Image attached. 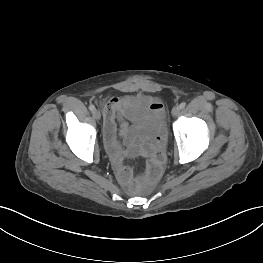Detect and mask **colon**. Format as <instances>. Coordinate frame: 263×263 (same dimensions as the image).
<instances>
[{"mask_svg":"<svg viewBox=\"0 0 263 263\" xmlns=\"http://www.w3.org/2000/svg\"><path fill=\"white\" fill-rule=\"evenodd\" d=\"M161 168L162 164L158 162L148 165L145 175L137 180V187H142L156 181L161 174Z\"/></svg>","mask_w":263,"mask_h":263,"instance_id":"colon-1","label":"colon"}]
</instances>
